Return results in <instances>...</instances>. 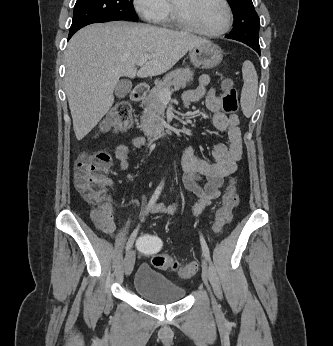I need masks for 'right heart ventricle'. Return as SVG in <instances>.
Masks as SVG:
<instances>
[{"label": "right heart ventricle", "mask_w": 333, "mask_h": 346, "mask_svg": "<svg viewBox=\"0 0 333 346\" xmlns=\"http://www.w3.org/2000/svg\"><path fill=\"white\" fill-rule=\"evenodd\" d=\"M172 19H173V16L171 15L170 17H167L164 21L172 20Z\"/></svg>", "instance_id": "1"}]
</instances>
